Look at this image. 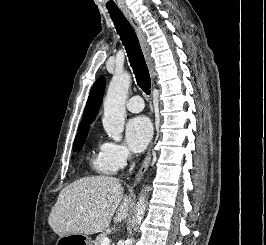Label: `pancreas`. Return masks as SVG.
Wrapping results in <instances>:
<instances>
[{
	"instance_id": "cf45deb5",
	"label": "pancreas",
	"mask_w": 266,
	"mask_h": 245,
	"mask_svg": "<svg viewBox=\"0 0 266 245\" xmlns=\"http://www.w3.org/2000/svg\"><path fill=\"white\" fill-rule=\"evenodd\" d=\"M103 237H107V233H102V235H99V237H96V241H94V245H101V239Z\"/></svg>"
}]
</instances>
